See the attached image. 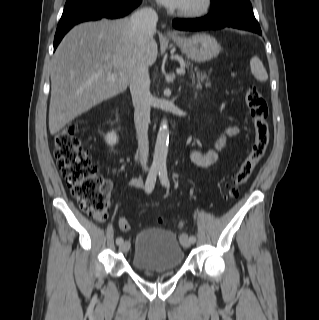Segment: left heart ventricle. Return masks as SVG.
Wrapping results in <instances>:
<instances>
[{
    "mask_svg": "<svg viewBox=\"0 0 319 320\" xmlns=\"http://www.w3.org/2000/svg\"><path fill=\"white\" fill-rule=\"evenodd\" d=\"M195 1L196 0H190L189 3L183 9L192 7L194 5Z\"/></svg>",
    "mask_w": 319,
    "mask_h": 320,
    "instance_id": "obj_1",
    "label": "left heart ventricle"
}]
</instances>
